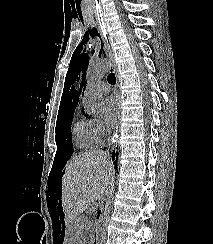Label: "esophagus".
I'll use <instances>...</instances> for the list:
<instances>
[{
	"instance_id": "obj_1",
	"label": "esophagus",
	"mask_w": 213,
	"mask_h": 244,
	"mask_svg": "<svg viewBox=\"0 0 213 244\" xmlns=\"http://www.w3.org/2000/svg\"><path fill=\"white\" fill-rule=\"evenodd\" d=\"M104 41V40H103ZM104 49H105V53L108 57V63L110 64V69L114 71L115 76H116V86H115V94L116 97L118 99V103H119V112H118V117H117V122L115 125V129H114V135L117 134L118 132V128H119V122H120V93H119V79H118V71H117V67L115 65L114 62V56H113V52L110 49V45H108L107 41H104ZM112 142H115V138L112 139Z\"/></svg>"
}]
</instances>
